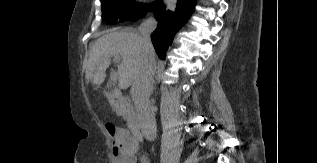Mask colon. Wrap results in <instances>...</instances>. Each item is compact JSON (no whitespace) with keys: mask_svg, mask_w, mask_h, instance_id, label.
<instances>
[{"mask_svg":"<svg viewBox=\"0 0 317 163\" xmlns=\"http://www.w3.org/2000/svg\"><path fill=\"white\" fill-rule=\"evenodd\" d=\"M107 130L112 137H115L116 129L114 126L112 125L107 126Z\"/></svg>","mask_w":317,"mask_h":163,"instance_id":"colon-1","label":"colon"}]
</instances>
